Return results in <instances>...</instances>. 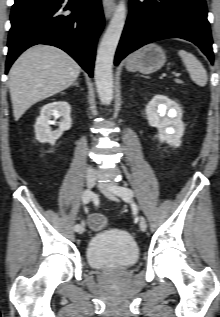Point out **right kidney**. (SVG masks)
Segmentation results:
<instances>
[{
    "label": "right kidney",
    "mask_w": 220,
    "mask_h": 317,
    "mask_svg": "<svg viewBox=\"0 0 220 317\" xmlns=\"http://www.w3.org/2000/svg\"><path fill=\"white\" fill-rule=\"evenodd\" d=\"M70 113L71 107L65 101H55L44 105L34 126L36 139L41 143L54 145L63 132L71 128L72 119ZM52 116L55 118L62 117L57 130H52L50 127Z\"/></svg>",
    "instance_id": "1"
}]
</instances>
